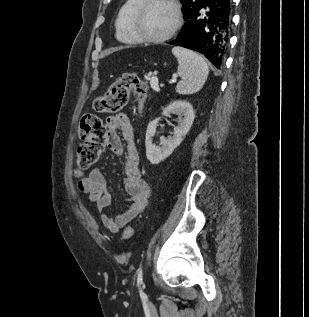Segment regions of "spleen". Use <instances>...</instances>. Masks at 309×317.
Instances as JSON below:
<instances>
[{
    "mask_svg": "<svg viewBox=\"0 0 309 317\" xmlns=\"http://www.w3.org/2000/svg\"><path fill=\"white\" fill-rule=\"evenodd\" d=\"M172 53L177 58V73L181 80L176 86V92L181 95L197 93L205 84L209 68L203 57L182 47H174Z\"/></svg>",
    "mask_w": 309,
    "mask_h": 317,
    "instance_id": "3e777b00",
    "label": "spleen"
}]
</instances>
